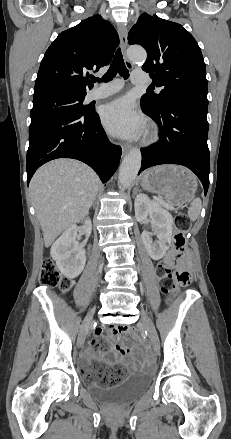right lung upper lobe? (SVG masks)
<instances>
[{"mask_svg":"<svg viewBox=\"0 0 231 439\" xmlns=\"http://www.w3.org/2000/svg\"><path fill=\"white\" fill-rule=\"evenodd\" d=\"M118 43L114 27L98 15L63 31L41 61L33 98L50 93L86 94L93 86L89 71L108 65Z\"/></svg>","mask_w":231,"mask_h":439,"instance_id":"obj_1","label":"right lung upper lobe"}]
</instances>
